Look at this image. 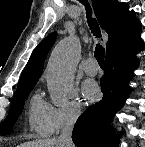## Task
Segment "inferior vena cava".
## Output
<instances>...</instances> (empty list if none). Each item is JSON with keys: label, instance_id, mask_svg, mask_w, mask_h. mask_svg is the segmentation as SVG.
Instances as JSON below:
<instances>
[{"label": "inferior vena cava", "instance_id": "602c4592", "mask_svg": "<svg viewBox=\"0 0 145 147\" xmlns=\"http://www.w3.org/2000/svg\"><path fill=\"white\" fill-rule=\"evenodd\" d=\"M78 116L79 111L76 110L67 118L66 124L62 129L60 136L58 137V142L61 147H74L71 135Z\"/></svg>", "mask_w": 145, "mask_h": 147}]
</instances>
